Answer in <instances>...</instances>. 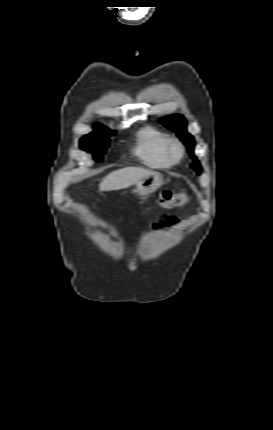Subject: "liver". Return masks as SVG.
<instances>
[{
	"label": "liver",
	"instance_id": "liver-1",
	"mask_svg": "<svg viewBox=\"0 0 273 430\" xmlns=\"http://www.w3.org/2000/svg\"><path fill=\"white\" fill-rule=\"evenodd\" d=\"M153 173L149 169L140 167H126L108 174L100 184V191H115L136 184L141 178Z\"/></svg>",
	"mask_w": 273,
	"mask_h": 430
}]
</instances>
